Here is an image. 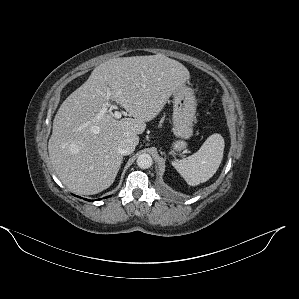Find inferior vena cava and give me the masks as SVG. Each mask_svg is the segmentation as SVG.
<instances>
[{"instance_id": "602c4592", "label": "inferior vena cava", "mask_w": 299, "mask_h": 299, "mask_svg": "<svg viewBox=\"0 0 299 299\" xmlns=\"http://www.w3.org/2000/svg\"><path fill=\"white\" fill-rule=\"evenodd\" d=\"M136 144L131 139H124L118 145V151L122 155H129L135 150Z\"/></svg>"}]
</instances>
